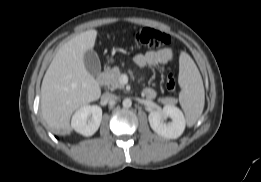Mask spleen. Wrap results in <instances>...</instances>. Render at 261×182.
I'll return each mask as SVG.
<instances>
[{
    "label": "spleen",
    "mask_w": 261,
    "mask_h": 182,
    "mask_svg": "<svg viewBox=\"0 0 261 182\" xmlns=\"http://www.w3.org/2000/svg\"><path fill=\"white\" fill-rule=\"evenodd\" d=\"M178 80L182 88L179 102L185 113L187 124L191 127L203 112L205 92L200 72L186 52H182L179 57Z\"/></svg>",
    "instance_id": "spleen-1"
}]
</instances>
